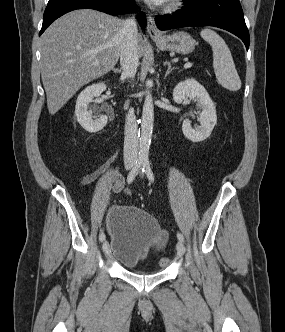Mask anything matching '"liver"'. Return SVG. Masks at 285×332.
Masks as SVG:
<instances>
[{
  "mask_svg": "<svg viewBox=\"0 0 285 332\" xmlns=\"http://www.w3.org/2000/svg\"><path fill=\"white\" fill-rule=\"evenodd\" d=\"M124 20L91 9L69 12L41 37V77L51 115L85 84L110 72L119 60ZM138 56L146 41L138 34ZM98 64V65H95Z\"/></svg>",
  "mask_w": 285,
  "mask_h": 332,
  "instance_id": "6515ba94",
  "label": "liver"
}]
</instances>
